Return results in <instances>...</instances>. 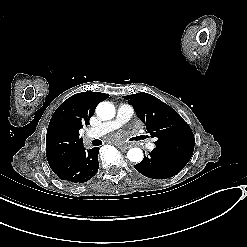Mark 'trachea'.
Wrapping results in <instances>:
<instances>
[{"instance_id":"obj_1","label":"trachea","mask_w":247,"mask_h":247,"mask_svg":"<svg viewBox=\"0 0 247 247\" xmlns=\"http://www.w3.org/2000/svg\"><path fill=\"white\" fill-rule=\"evenodd\" d=\"M98 141H99V142H100V144H101V141H100V140H93V145H95V146H96V143H97Z\"/></svg>"}]
</instances>
